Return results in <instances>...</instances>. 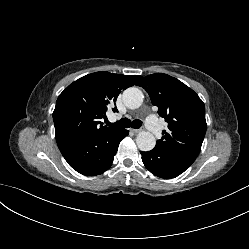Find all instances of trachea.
<instances>
[{"label": "trachea", "instance_id": "trachea-1", "mask_svg": "<svg viewBox=\"0 0 249 249\" xmlns=\"http://www.w3.org/2000/svg\"><path fill=\"white\" fill-rule=\"evenodd\" d=\"M108 126H114V127H122V128H135L138 129L142 126V121L139 119L133 120L131 122L130 119L122 118L121 120L117 121L116 123H110L109 121L106 122Z\"/></svg>", "mask_w": 249, "mask_h": 249}]
</instances>
